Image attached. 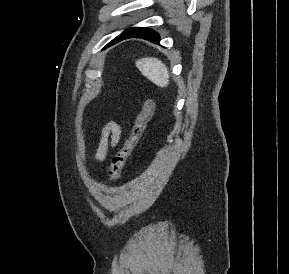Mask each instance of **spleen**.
<instances>
[{
	"mask_svg": "<svg viewBox=\"0 0 289 274\" xmlns=\"http://www.w3.org/2000/svg\"><path fill=\"white\" fill-rule=\"evenodd\" d=\"M140 72L159 87L169 84V73L165 64L157 58H143L136 61Z\"/></svg>",
	"mask_w": 289,
	"mask_h": 274,
	"instance_id": "obj_1",
	"label": "spleen"
}]
</instances>
